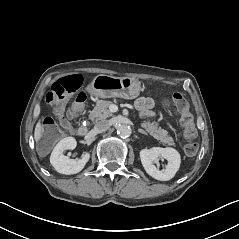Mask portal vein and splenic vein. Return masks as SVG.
Masks as SVG:
<instances>
[{"instance_id":"18ae733b","label":"portal vein and splenic vein","mask_w":239,"mask_h":239,"mask_svg":"<svg viewBox=\"0 0 239 239\" xmlns=\"http://www.w3.org/2000/svg\"><path fill=\"white\" fill-rule=\"evenodd\" d=\"M110 111H111L112 113H116V112L118 111V107H117L116 105H111V106H110Z\"/></svg>"}]
</instances>
